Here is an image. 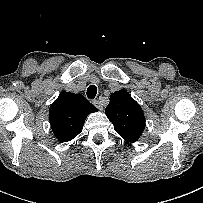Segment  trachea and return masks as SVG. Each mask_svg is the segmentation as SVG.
<instances>
[{
	"mask_svg": "<svg viewBox=\"0 0 203 203\" xmlns=\"http://www.w3.org/2000/svg\"><path fill=\"white\" fill-rule=\"evenodd\" d=\"M97 94V87L95 85H90L87 88V97L90 99H94Z\"/></svg>",
	"mask_w": 203,
	"mask_h": 203,
	"instance_id": "3493384b",
	"label": "trachea"
}]
</instances>
